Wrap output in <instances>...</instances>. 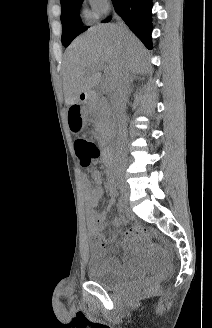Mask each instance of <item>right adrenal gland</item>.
I'll return each instance as SVG.
<instances>
[{
    "mask_svg": "<svg viewBox=\"0 0 212 328\" xmlns=\"http://www.w3.org/2000/svg\"><path fill=\"white\" fill-rule=\"evenodd\" d=\"M132 91H133V78L130 79V83H129V94H131Z\"/></svg>",
    "mask_w": 212,
    "mask_h": 328,
    "instance_id": "2a0ac1e0",
    "label": "right adrenal gland"
}]
</instances>
